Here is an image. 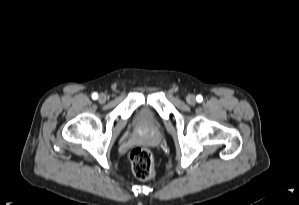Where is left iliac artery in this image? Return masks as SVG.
I'll return each instance as SVG.
<instances>
[{"instance_id": "44dca946", "label": "left iliac artery", "mask_w": 299, "mask_h": 205, "mask_svg": "<svg viewBox=\"0 0 299 205\" xmlns=\"http://www.w3.org/2000/svg\"><path fill=\"white\" fill-rule=\"evenodd\" d=\"M196 100H197L198 102H201V101L203 100V98H202L201 95H198V96L196 97Z\"/></svg>"}]
</instances>
